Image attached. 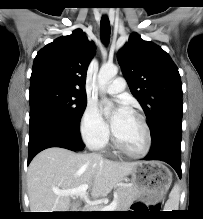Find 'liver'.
<instances>
[{
	"mask_svg": "<svg viewBox=\"0 0 203 219\" xmlns=\"http://www.w3.org/2000/svg\"><path fill=\"white\" fill-rule=\"evenodd\" d=\"M137 162H114L96 154H81L64 148L51 147L37 154L27 173L31 212H75L70 196L55 191L71 190L83 184L93 198L105 196L126 176Z\"/></svg>",
	"mask_w": 203,
	"mask_h": 219,
	"instance_id": "1",
	"label": "liver"
}]
</instances>
